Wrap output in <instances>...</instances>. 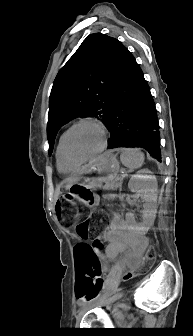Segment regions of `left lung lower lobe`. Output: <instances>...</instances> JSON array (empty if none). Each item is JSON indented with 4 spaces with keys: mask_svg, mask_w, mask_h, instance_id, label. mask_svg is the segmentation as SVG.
Here are the masks:
<instances>
[{
    "mask_svg": "<svg viewBox=\"0 0 193 336\" xmlns=\"http://www.w3.org/2000/svg\"><path fill=\"white\" fill-rule=\"evenodd\" d=\"M106 127L107 149L141 147L161 162L159 123L150 88L134 56L127 50Z\"/></svg>",
    "mask_w": 193,
    "mask_h": 336,
    "instance_id": "0a47b994",
    "label": "left lung lower lobe"
}]
</instances>
